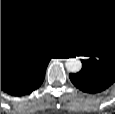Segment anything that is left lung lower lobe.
<instances>
[{"label":"left lung lower lobe","instance_id":"1","mask_svg":"<svg viewBox=\"0 0 115 114\" xmlns=\"http://www.w3.org/2000/svg\"><path fill=\"white\" fill-rule=\"evenodd\" d=\"M69 77L78 89L87 93L101 92L115 81V76L89 67H83L80 72L70 74Z\"/></svg>","mask_w":115,"mask_h":114}]
</instances>
